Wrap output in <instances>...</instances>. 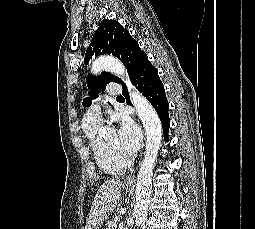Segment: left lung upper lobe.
Returning <instances> with one entry per match:
<instances>
[{
	"label": "left lung upper lobe",
	"mask_w": 255,
	"mask_h": 229,
	"mask_svg": "<svg viewBox=\"0 0 255 229\" xmlns=\"http://www.w3.org/2000/svg\"><path fill=\"white\" fill-rule=\"evenodd\" d=\"M101 54L116 56L123 62L129 76H131L140 58L145 53L139 47L138 42L129 34L128 30L124 29L119 22L105 20L94 33L91 44L86 51L84 63L88 64L90 59ZM86 82L90 89V98L84 99L83 106L89 107L92 103L91 99L97 98L98 93L104 91L109 82L122 83V80L110 73L102 72L99 76L88 74Z\"/></svg>",
	"instance_id": "1"
}]
</instances>
